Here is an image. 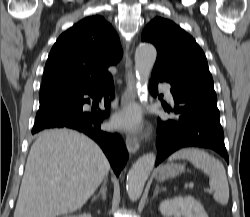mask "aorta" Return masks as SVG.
Listing matches in <instances>:
<instances>
[{
	"mask_svg": "<svg viewBox=\"0 0 250 217\" xmlns=\"http://www.w3.org/2000/svg\"><path fill=\"white\" fill-rule=\"evenodd\" d=\"M157 51L151 44H140L135 52L137 95L142 103L147 100L146 81L156 61ZM156 155L147 153L140 157L127 175V193L132 201L142 194L144 185L155 165Z\"/></svg>",
	"mask_w": 250,
	"mask_h": 217,
	"instance_id": "aorta-1",
	"label": "aorta"
}]
</instances>
